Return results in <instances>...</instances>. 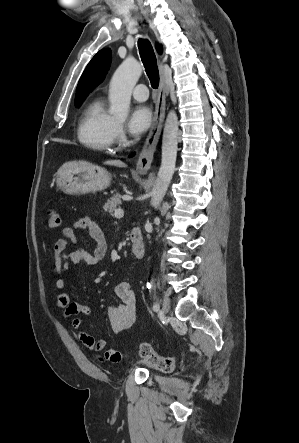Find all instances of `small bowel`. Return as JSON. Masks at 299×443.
Here are the masks:
<instances>
[{"label":"small bowel","mask_w":299,"mask_h":443,"mask_svg":"<svg viewBox=\"0 0 299 443\" xmlns=\"http://www.w3.org/2000/svg\"><path fill=\"white\" fill-rule=\"evenodd\" d=\"M88 229L90 237L95 241L92 252L77 249L68 252L69 246L77 242V232ZM53 247V272L56 275L55 289L58 294L55 308L61 311V316L68 321L76 331L78 339L95 354V358L102 363H119L124 359V353L108 349L105 339H96L83 330V320L76 317L78 314L88 315L91 307L70 300L69 293L65 292L67 283L66 272L72 265L85 263L93 266L101 261L107 254L108 245L101 227L90 217H83L74 222L72 226L65 227ZM118 302L108 308V321L114 334L124 332L131 327L136 314V295L128 282H121L115 287Z\"/></svg>","instance_id":"small-bowel-1"}]
</instances>
